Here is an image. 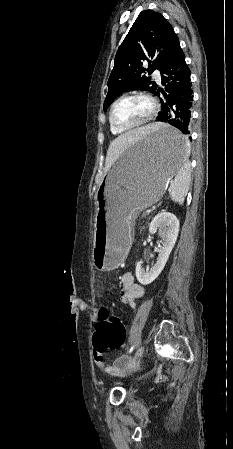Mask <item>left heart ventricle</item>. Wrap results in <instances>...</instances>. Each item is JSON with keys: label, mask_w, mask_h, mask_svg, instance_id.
<instances>
[{"label": "left heart ventricle", "mask_w": 233, "mask_h": 449, "mask_svg": "<svg viewBox=\"0 0 233 449\" xmlns=\"http://www.w3.org/2000/svg\"><path fill=\"white\" fill-rule=\"evenodd\" d=\"M150 105L142 97H128L119 101L113 110L115 123L129 126L138 123L149 114Z\"/></svg>", "instance_id": "obj_1"}]
</instances>
